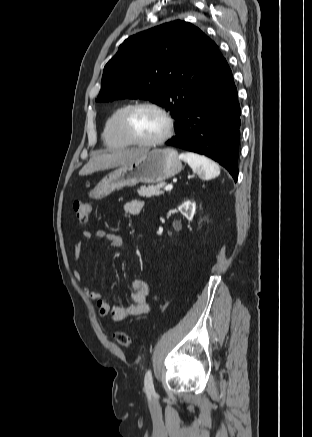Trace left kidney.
Listing matches in <instances>:
<instances>
[{"label":"left kidney","mask_w":312,"mask_h":437,"mask_svg":"<svg viewBox=\"0 0 312 437\" xmlns=\"http://www.w3.org/2000/svg\"><path fill=\"white\" fill-rule=\"evenodd\" d=\"M179 211L186 216L189 221H191L196 211V204L195 202L188 200L179 206ZM177 224V222H174L173 226H176Z\"/></svg>","instance_id":"obj_1"}]
</instances>
